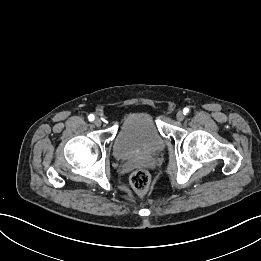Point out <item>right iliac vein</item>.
Segmentation results:
<instances>
[{
	"instance_id": "63e3f726",
	"label": "right iliac vein",
	"mask_w": 261,
	"mask_h": 261,
	"mask_svg": "<svg viewBox=\"0 0 261 261\" xmlns=\"http://www.w3.org/2000/svg\"><path fill=\"white\" fill-rule=\"evenodd\" d=\"M101 124H102V121H101L99 118H96V119L94 120V125H95V126L100 127Z\"/></svg>"
}]
</instances>
